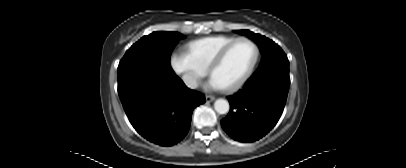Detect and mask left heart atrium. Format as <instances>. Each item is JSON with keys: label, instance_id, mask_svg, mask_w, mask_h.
I'll list each match as a JSON object with an SVG mask.
<instances>
[{"label": "left heart atrium", "instance_id": "left-heart-atrium-1", "mask_svg": "<svg viewBox=\"0 0 406 168\" xmlns=\"http://www.w3.org/2000/svg\"><path fill=\"white\" fill-rule=\"evenodd\" d=\"M207 87L210 89H215V90L222 89L221 85L217 81H215L213 78H211Z\"/></svg>", "mask_w": 406, "mask_h": 168}]
</instances>
